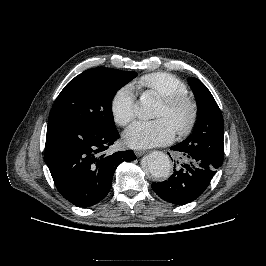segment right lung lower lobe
<instances>
[{
  "instance_id": "right-lung-lower-lobe-1",
  "label": "right lung lower lobe",
  "mask_w": 266,
  "mask_h": 266,
  "mask_svg": "<svg viewBox=\"0 0 266 266\" xmlns=\"http://www.w3.org/2000/svg\"><path fill=\"white\" fill-rule=\"evenodd\" d=\"M118 138L116 129L62 119L48 121L44 160L65 199L85 208L106 197L117 166L137 158L132 150L105 153Z\"/></svg>"
}]
</instances>
